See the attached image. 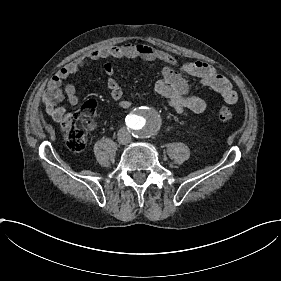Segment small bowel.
Listing matches in <instances>:
<instances>
[{
	"label": "small bowel",
	"mask_w": 281,
	"mask_h": 281,
	"mask_svg": "<svg viewBox=\"0 0 281 281\" xmlns=\"http://www.w3.org/2000/svg\"><path fill=\"white\" fill-rule=\"evenodd\" d=\"M102 59H140L163 63L160 78L155 82V89L169 98L175 112L181 117H187L191 113H202L206 109L205 101L189 92L188 77L198 78L206 86L219 92L228 105H234L238 101L237 92L232 83L210 64L187 61L177 70L175 69L176 60L172 55L142 43H126L94 49L68 64L50 81L43 97V106L56 124L64 123L68 117L67 110L60 106L65 97L72 106L80 102L73 84L68 83L63 90H60V83ZM114 73V67L111 64H105L104 74L107 77L106 86L110 97L118 102L121 108L129 109L133 106V102L124 98L123 90L114 78Z\"/></svg>",
	"instance_id": "1"
}]
</instances>
